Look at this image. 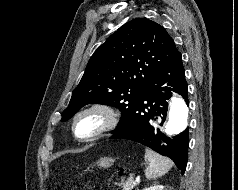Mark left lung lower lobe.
<instances>
[{"instance_id": "left-lung-lower-lobe-1", "label": "left lung lower lobe", "mask_w": 238, "mask_h": 190, "mask_svg": "<svg viewBox=\"0 0 238 190\" xmlns=\"http://www.w3.org/2000/svg\"><path fill=\"white\" fill-rule=\"evenodd\" d=\"M171 91L180 94L188 104V85L179 52L152 76L130 115L112 131L110 139H128L143 144L171 158L183 174L188 159V128L179 135L168 137L157 126L166 119Z\"/></svg>"}]
</instances>
